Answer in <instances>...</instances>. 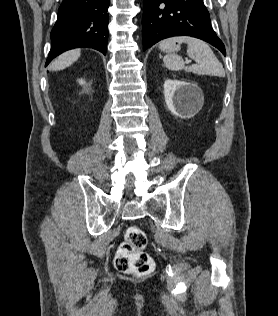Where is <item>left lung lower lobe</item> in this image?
<instances>
[{
    "label": "left lung lower lobe",
    "mask_w": 278,
    "mask_h": 316,
    "mask_svg": "<svg viewBox=\"0 0 278 316\" xmlns=\"http://www.w3.org/2000/svg\"><path fill=\"white\" fill-rule=\"evenodd\" d=\"M143 50L173 36L204 40L226 55L225 47L211 26L203 0H143Z\"/></svg>",
    "instance_id": "left-lung-lower-lobe-1"
}]
</instances>
